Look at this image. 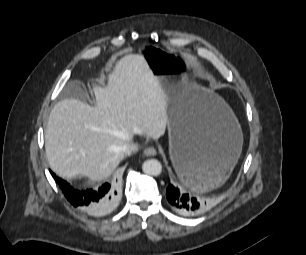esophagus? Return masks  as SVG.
Masks as SVG:
<instances>
[{
  "instance_id": "34e87169",
  "label": "esophagus",
  "mask_w": 306,
  "mask_h": 255,
  "mask_svg": "<svg viewBox=\"0 0 306 255\" xmlns=\"http://www.w3.org/2000/svg\"><path fill=\"white\" fill-rule=\"evenodd\" d=\"M156 154H157V150L154 147H147L144 150V155L147 156V157L155 156Z\"/></svg>"
}]
</instances>
